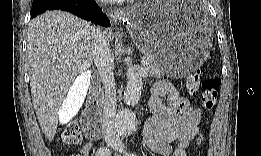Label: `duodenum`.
<instances>
[{
    "label": "duodenum",
    "mask_w": 261,
    "mask_h": 156,
    "mask_svg": "<svg viewBox=\"0 0 261 156\" xmlns=\"http://www.w3.org/2000/svg\"><path fill=\"white\" fill-rule=\"evenodd\" d=\"M101 113V102L97 93H92L88 101V108L83 115V121L86 125H90L95 117Z\"/></svg>",
    "instance_id": "410a0bca"
}]
</instances>
